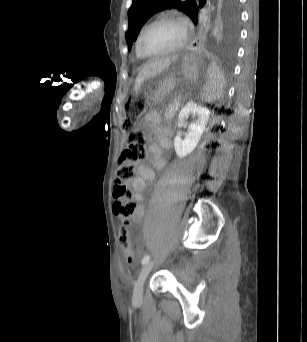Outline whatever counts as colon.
I'll return each instance as SVG.
<instances>
[{
  "label": "colon",
  "mask_w": 307,
  "mask_h": 342,
  "mask_svg": "<svg viewBox=\"0 0 307 342\" xmlns=\"http://www.w3.org/2000/svg\"><path fill=\"white\" fill-rule=\"evenodd\" d=\"M146 109V103L138 98L131 99L124 112V127L129 133L127 146L117 158L119 162L113 181L114 212L119 217V245L127 252L126 264H133L134 255L130 234V222L135 212V204L130 200L128 183L135 177V165L146 159L145 137L137 129V123Z\"/></svg>",
  "instance_id": "colon-1"
}]
</instances>
